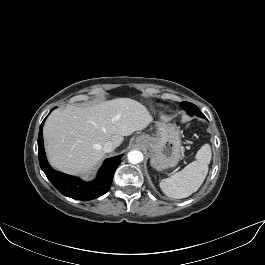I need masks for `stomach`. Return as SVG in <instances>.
<instances>
[{
  "label": "stomach",
  "instance_id": "0dacf381",
  "mask_svg": "<svg viewBox=\"0 0 265 265\" xmlns=\"http://www.w3.org/2000/svg\"><path fill=\"white\" fill-rule=\"evenodd\" d=\"M135 142L149 151L150 163L156 170L174 167L181 159V131L176 125L161 123L155 137L141 135Z\"/></svg>",
  "mask_w": 265,
  "mask_h": 265
}]
</instances>
